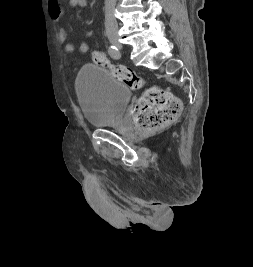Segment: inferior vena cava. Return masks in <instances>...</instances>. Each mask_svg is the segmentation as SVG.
I'll return each instance as SVG.
<instances>
[{
  "label": "inferior vena cava",
  "mask_w": 253,
  "mask_h": 267,
  "mask_svg": "<svg viewBox=\"0 0 253 267\" xmlns=\"http://www.w3.org/2000/svg\"><path fill=\"white\" fill-rule=\"evenodd\" d=\"M115 6L116 0H105V28L106 30H112V28H118L115 18Z\"/></svg>",
  "instance_id": "602c4592"
}]
</instances>
